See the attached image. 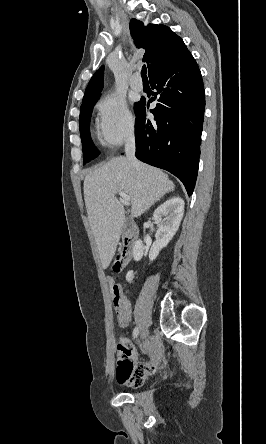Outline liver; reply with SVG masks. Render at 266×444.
I'll use <instances>...</instances> for the list:
<instances>
[{"label": "liver", "instance_id": "1", "mask_svg": "<svg viewBox=\"0 0 266 444\" xmlns=\"http://www.w3.org/2000/svg\"><path fill=\"white\" fill-rule=\"evenodd\" d=\"M173 190L167 174L126 157L112 158L85 177L84 200L103 269L115 255L125 220L124 207L115 195L130 196L131 213L137 218Z\"/></svg>", "mask_w": 266, "mask_h": 444}]
</instances>
